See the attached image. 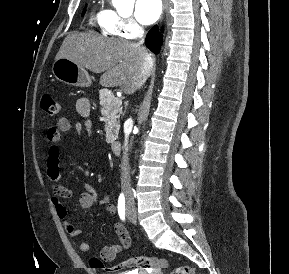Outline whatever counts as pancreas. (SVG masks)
<instances>
[{
  "label": "pancreas",
  "mask_w": 289,
  "mask_h": 274,
  "mask_svg": "<svg viewBox=\"0 0 289 274\" xmlns=\"http://www.w3.org/2000/svg\"><path fill=\"white\" fill-rule=\"evenodd\" d=\"M100 105L102 106L101 114L106 123V141L107 143H113L119 133V117L122 113L121 103L117 102V98L111 91L103 89L100 91Z\"/></svg>",
  "instance_id": "cf45deb5"
}]
</instances>
